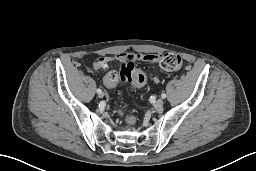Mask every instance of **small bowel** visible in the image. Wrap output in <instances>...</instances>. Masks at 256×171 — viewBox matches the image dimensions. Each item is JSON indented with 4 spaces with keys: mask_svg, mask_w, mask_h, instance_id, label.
Instances as JSON below:
<instances>
[{
    "mask_svg": "<svg viewBox=\"0 0 256 171\" xmlns=\"http://www.w3.org/2000/svg\"><path fill=\"white\" fill-rule=\"evenodd\" d=\"M160 56L157 54H142V53H133V52H121L117 54L114 58L106 57L104 58V62H111L113 60L117 61H143L148 63L157 64L159 62ZM149 79L153 83H159L160 78L157 74L151 73L146 76V79ZM103 82L106 87L115 86L114 83L109 82L108 75L103 78Z\"/></svg>",
    "mask_w": 256,
    "mask_h": 171,
    "instance_id": "small-bowel-1",
    "label": "small bowel"
}]
</instances>
